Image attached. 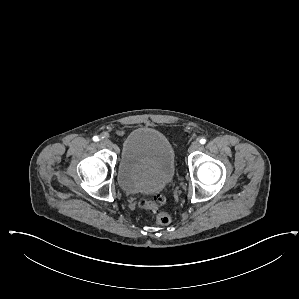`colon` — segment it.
<instances>
[{"label": "colon", "instance_id": "1", "mask_svg": "<svg viewBox=\"0 0 299 299\" xmlns=\"http://www.w3.org/2000/svg\"><path fill=\"white\" fill-rule=\"evenodd\" d=\"M165 203V198L161 195L154 197L153 199H141L139 201V207L146 210H157ZM156 221L160 225H168L171 223V217L166 212H159L156 217Z\"/></svg>", "mask_w": 299, "mask_h": 299}]
</instances>
